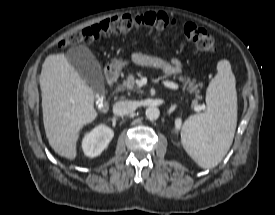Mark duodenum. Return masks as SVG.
I'll return each instance as SVG.
<instances>
[{
	"instance_id": "duodenum-1",
	"label": "duodenum",
	"mask_w": 275,
	"mask_h": 215,
	"mask_svg": "<svg viewBox=\"0 0 275 215\" xmlns=\"http://www.w3.org/2000/svg\"><path fill=\"white\" fill-rule=\"evenodd\" d=\"M107 84L110 87H114L118 80V73L114 69H108L105 72Z\"/></svg>"
}]
</instances>
